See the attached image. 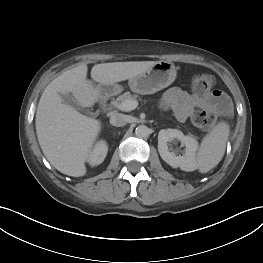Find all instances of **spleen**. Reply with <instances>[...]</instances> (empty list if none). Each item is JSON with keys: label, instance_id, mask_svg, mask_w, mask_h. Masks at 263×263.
<instances>
[{"label": "spleen", "instance_id": "spleen-1", "mask_svg": "<svg viewBox=\"0 0 263 263\" xmlns=\"http://www.w3.org/2000/svg\"><path fill=\"white\" fill-rule=\"evenodd\" d=\"M229 131V125L220 122L203 138L197 154V167L201 173L210 171L221 161Z\"/></svg>", "mask_w": 263, "mask_h": 263}]
</instances>
